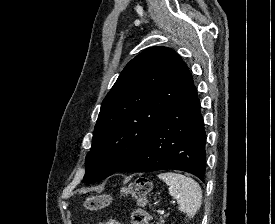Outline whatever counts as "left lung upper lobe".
<instances>
[{
  "label": "left lung upper lobe",
  "instance_id": "1",
  "mask_svg": "<svg viewBox=\"0 0 275 224\" xmlns=\"http://www.w3.org/2000/svg\"><path fill=\"white\" fill-rule=\"evenodd\" d=\"M192 83L187 65L170 48L151 47L132 59L101 104L84 181L127 172L154 127Z\"/></svg>",
  "mask_w": 275,
  "mask_h": 224
}]
</instances>
